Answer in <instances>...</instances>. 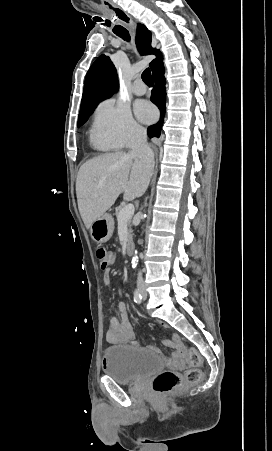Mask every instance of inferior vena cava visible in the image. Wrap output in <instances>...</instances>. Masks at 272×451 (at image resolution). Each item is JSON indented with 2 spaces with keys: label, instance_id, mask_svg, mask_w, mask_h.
I'll use <instances>...</instances> for the list:
<instances>
[{
  "label": "inferior vena cava",
  "instance_id": "1",
  "mask_svg": "<svg viewBox=\"0 0 272 451\" xmlns=\"http://www.w3.org/2000/svg\"><path fill=\"white\" fill-rule=\"evenodd\" d=\"M146 138V130H138L135 138H133L131 142V154H133V156H139V158L145 162L146 166H153L154 154L149 146H147ZM137 285L138 287H143L144 285L141 271L138 273Z\"/></svg>",
  "mask_w": 272,
  "mask_h": 451
}]
</instances>
